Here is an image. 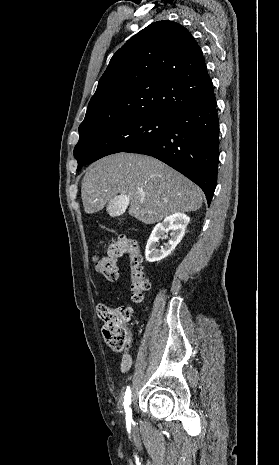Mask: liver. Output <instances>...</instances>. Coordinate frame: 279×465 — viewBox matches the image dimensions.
I'll list each match as a JSON object with an SVG mask.
<instances>
[{
    "mask_svg": "<svg viewBox=\"0 0 279 465\" xmlns=\"http://www.w3.org/2000/svg\"><path fill=\"white\" fill-rule=\"evenodd\" d=\"M126 196L130 216L154 224L178 212L202 206L203 192L165 163L147 155L117 153L89 166L81 183L87 214L101 211L109 201Z\"/></svg>",
    "mask_w": 279,
    "mask_h": 465,
    "instance_id": "1",
    "label": "liver"
}]
</instances>
